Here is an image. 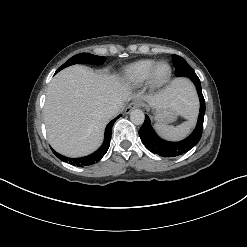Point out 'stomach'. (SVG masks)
<instances>
[{
  "label": "stomach",
  "mask_w": 247,
  "mask_h": 247,
  "mask_svg": "<svg viewBox=\"0 0 247 247\" xmlns=\"http://www.w3.org/2000/svg\"><path fill=\"white\" fill-rule=\"evenodd\" d=\"M153 113L157 124H167L174 122L179 115L172 106L154 107Z\"/></svg>",
  "instance_id": "0dacf381"
}]
</instances>
